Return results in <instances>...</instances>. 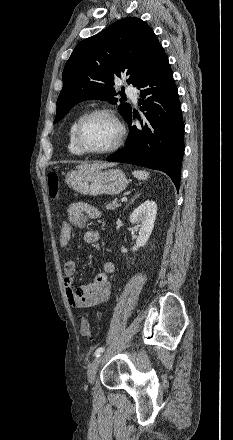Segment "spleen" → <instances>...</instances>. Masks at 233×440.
I'll use <instances>...</instances> for the list:
<instances>
[{"label":"spleen","instance_id":"1","mask_svg":"<svg viewBox=\"0 0 233 440\" xmlns=\"http://www.w3.org/2000/svg\"><path fill=\"white\" fill-rule=\"evenodd\" d=\"M132 174L139 180H146L149 177V173L145 170H136L133 171Z\"/></svg>","mask_w":233,"mask_h":440}]
</instances>
